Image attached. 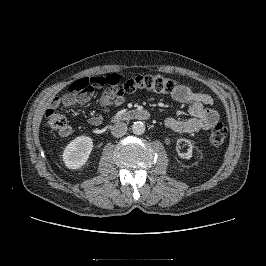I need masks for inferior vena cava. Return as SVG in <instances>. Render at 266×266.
<instances>
[{
  "mask_svg": "<svg viewBox=\"0 0 266 266\" xmlns=\"http://www.w3.org/2000/svg\"><path fill=\"white\" fill-rule=\"evenodd\" d=\"M126 132L127 125L124 122H116L111 128V133L114 137H122Z\"/></svg>",
  "mask_w": 266,
  "mask_h": 266,
  "instance_id": "obj_1",
  "label": "inferior vena cava"
}]
</instances>
